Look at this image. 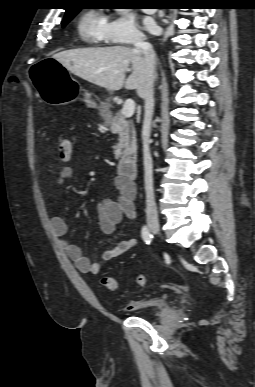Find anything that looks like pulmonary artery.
<instances>
[{
  "instance_id": "pulmonary-artery-1",
  "label": "pulmonary artery",
  "mask_w": 255,
  "mask_h": 387,
  "mask_svg": "<svg viewBox=\"0 0 255 387\" xmlns=\"http://www.w3.org/2000/svg\"><path fill=\"white\" fill-rule=\"evenodd\" d=\"M145 11H146L147 13L152 14V13H154L156 10H155V9H146Z\"/></svg>"
}]
</instances>
